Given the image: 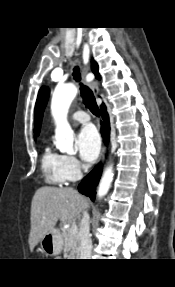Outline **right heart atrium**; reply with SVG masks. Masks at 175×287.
<instances>
[{
  "mask_svg": "<svg viewBox=\"0 0 175 287\" xmlns=\"http://www.w3.org/2000/svg\"><path fill=\"white\" fill-rule=\"evenodd\" d=\"M82 166L72 155H62V171L66 181L77 179L81 174Z\"/></svg>",
  "mask_w": 175,
  "mask_h": 287,
  "instance_id": "1",
  "label": "right heart atrium"
}]
</instances>
